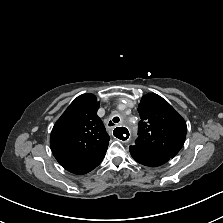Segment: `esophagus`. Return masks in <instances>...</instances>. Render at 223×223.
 I'll return each instance as SVG.
<instances>
[{
    "instance_id": "obj_1",
    "label": "esophagus",
    "mask_w": 223,
    "mask_h": 223,
    "mask_svg": "<svg viewBox=\"0 0 223 223\" xmlns=\"http://www.w3.org/2000/svg\"><path fill=\"white\" fill-rule=\"evenodd\" d=\"M113 135L115 138H117L119 141L123 143H127L130 140V131L122 126H117L113 130Z\"/></svg>"
}]
</instances>
